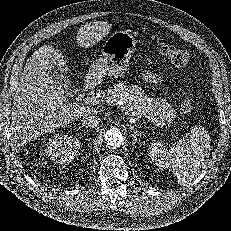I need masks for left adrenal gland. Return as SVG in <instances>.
<instances>
[{
  "label": "left adrenal gland",
  "mask_w": 231,
  "mask_h": 231,
  "mask_svg": "<svg viewBox=\"0 0 231 231\" xmlns=\"http://www.w3.org/2000/svg\"><path fill=\"white\" fill-rule=\"evenodd\" d=\"M129 129L131 130V132H133L132 134L133 143L132 144L134 146L136 144L137 137L139 136V132L133 125H130Z\"/></svg>",
  "instance_id": "a2214340"
}]
</instances>
